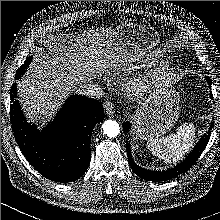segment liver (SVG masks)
<instances>
[{"mask_svg": "<svg viewBox=\"0 0 220 220\" xmlns=\"http://www.w3.org/2000/svg\"><path fill=\"white\" fill-rule=\"evenodd\" d=\"M127 57L119 32L111 27L67 35L49 53L38 55L18 81L26 116L43 124L70 91L80 92L91 77L108 73L107 68Z\"/></svg>", "mask_w": 220, "mask_h": 220, "instance_id": "liver-1", "label": "liver"}]
</instances>
